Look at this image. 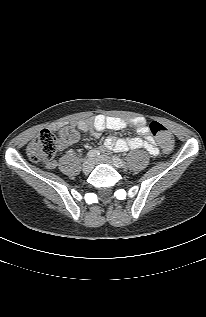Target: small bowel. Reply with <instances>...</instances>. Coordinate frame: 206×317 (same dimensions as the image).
Listing matches in <instances>:
<instances>
[{"mask_svg": "<svg viewBox=\"0 0 206 317\" xmlns=\"http://www.w3.org/2000/svg\"><path fill=\"white\" fill-rule=\"evenodd\" d=\"M128 126H134L137 129L138 133L144 136L145 139H142L140 137L122 139L115 136H108L105 139V147L116 152H124L129 149H144L153 156H156L159 153V149L155 145L154 139L150 134L147 122L143 118H136L132 120L130 124H128L126 121L118 117L97 115L90 119L73 122L70 128L74 130L79 129L83 132H89L93 137L99 138L101 135V131L105 129L122 130L127 128ZM75 139L76 138L72 140L60 139L57 145L58 149H65L71 143H73ZM47 166L49 168H53L56 166V163L52 161L49 162Z\"/></svg>", "mask_w": 206, "mask_h": 317, "instance_id": "c3829d8e", "label": "small bowel"}]
</instances>
